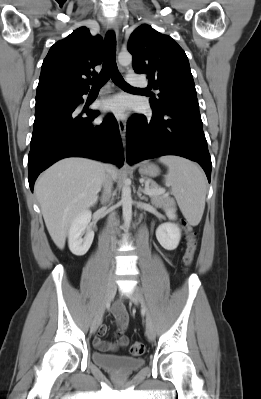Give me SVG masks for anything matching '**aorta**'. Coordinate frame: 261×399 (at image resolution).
Segmentation results:
<instances>
[{
    "instance_id": "obj_1",
    "label": "aorta",
    "mask_w": 261,
    "mask_h": 399,
    "mask_svg": "<svg viewBox=\"0 0 261 399\" xmlns=\"http://www.w3.org/2000/svg\"><path fill=\"white\" fill-rule=\"evenodd\" d=\"M118 62L120 65L127 67L132 63V55L129 52H120L118 55ZM121 203L124 224L126 227H129L132 220V197L128 179L124 181L122 187Z\"/></svg>"
}]
</instances>
